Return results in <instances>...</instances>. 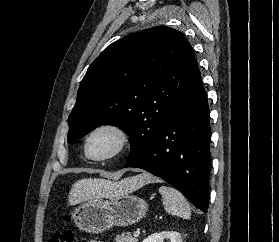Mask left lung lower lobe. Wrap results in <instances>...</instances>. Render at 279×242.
Returning a JSON list of instances; mask_svg holds the SVG:
<instances>
[{
    "label": "left lung lower lobe",
    "instance_id": "1",
    "mask_svg": "<svg viewBox=\"0 0 279 242\" xmlns=\"http://www.w3.org/2000/svg\"><path fill=\"white\" fill-rule=\"evenodd\" d=\"M210 124L206 92L197 67L162 131L125 167L144 169L182 192L198 209L209 204Z\"/></svg>",
    "mask_w": 279,
    "mask_h": 242
}]
</instances>
